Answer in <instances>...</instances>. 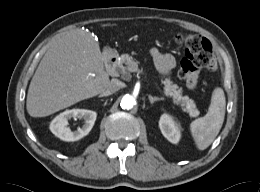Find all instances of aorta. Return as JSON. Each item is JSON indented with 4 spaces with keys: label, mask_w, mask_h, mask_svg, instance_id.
<instances>
[{
    "label": "aorta",
    "mask_w": 260,
    "mask_h": 192,
    "mask_svg": "<svg viewBox=\"0 0 260 192\" xmlns=\"http://www.w3.org/2000/svg\"><path fill=\"white\" fill-rule=\"evenodd\" d=\"M136 105V99L129 94L122 97L120 106L122 109L130 110Z\"/></svg>",
    "instance_id": "762f6f07"
}]
</instances>
